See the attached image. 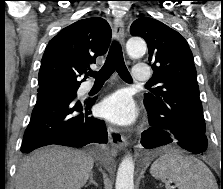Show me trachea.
Instances as JSON below:
<instances>
[{"mask_svg":"<svg viewBox=\"0 0 223 189\" xmlns=\"http://www.w3.org/2000/svg\"><path fill=\"white\" fill-rule=\"evenodd\" d=\"M115 70L119 76L128 82L132 81L130 73L125 65L121 46L118 42H113L107 55L105 64L99 72H89V76L95 77L96 82H104Z\"/></svg>","mask_w":223,"mask_h":189,"instance_id":"trachea-1","label":"trachea"}]
</instances>
